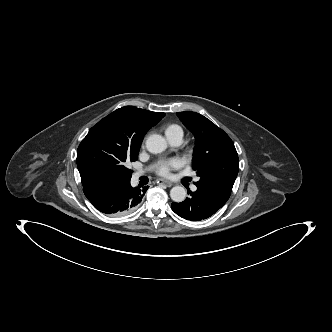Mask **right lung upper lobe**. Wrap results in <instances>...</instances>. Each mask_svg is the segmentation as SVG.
Returning <instances> with one entry per match:
<instances>
[{"label": "right lung upper lobe", "mask_w": 332, "mask_h": 332, "mask_svg": "<svg viewBox=\"0 0 332 332\" xmlns=\"http://www.w3.org/2000/svg\"><path fill=\"white\" fill-rule=\"evenodd\" d=\"M118 110L126 113L128 118L136 124L151 127L157 124L165 115V113L152 112L144 109H139L134 106H125Z\"/></svg>", "instance_id": "right-lung-upper-lobe-1"}]
</instances>
